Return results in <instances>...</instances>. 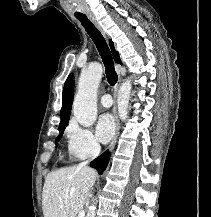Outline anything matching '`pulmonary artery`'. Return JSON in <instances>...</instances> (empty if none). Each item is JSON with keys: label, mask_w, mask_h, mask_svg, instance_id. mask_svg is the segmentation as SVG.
Here are the masks:
<instances>
[{"label": "pulmonary artery", "mask_w": 211, "mask_h": 217, "mask_svg": "<svg viewBox=\"0 0 211 217\" xmlns=\"http://www.w3.org/2000/svg\"><path fill=\"white\" fill-rule=\"evenodd\" d=\"M100 103L103 107L105 108H110L112 106V98L109 94H104L101 98H100Z\"/></svg>", "instance_id": "obj_1"}]
</instances>
